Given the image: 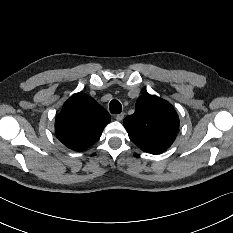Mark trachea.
<instances>
[{
	"instance_id": "obj_1",
	"label": "trachea",
	"mask_w": 233,
	"mask_h": 233,
	"mask_svg": "<svg viewBox=\"0 0 233 233\" xmlns=\"http://www.w3.org/2000/svg\"><path fill=\"white\" fill-rule=\"evenodd\" d=\"M109 108L112 114H119L122 111L121 103L115 99L110 102Z\"/></svg>"
}]
</instances>
